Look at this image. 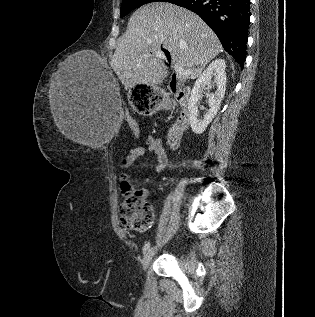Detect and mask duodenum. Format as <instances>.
I'll use <instances>...</instances> for the list:
<instances>
[{
  "instance_id": "1",
  "label": "duodenum",
  "mask_w": 315,
  "mask_h": 317,
  "mask_svg": "<svg viewBox=\"0 0 315 317\" xmlns=\"http://www.w3.org/2000/svg\"><path fill=\"white\" fill-rule=\"evenodd\" d=\"M170 92L180 104V112L169 131V144L171 147H176L183 132L189 127L190 117L187 109V95L182 91L180 81L176 76L170 80Z\"/></svg>"
}]
</instances>
